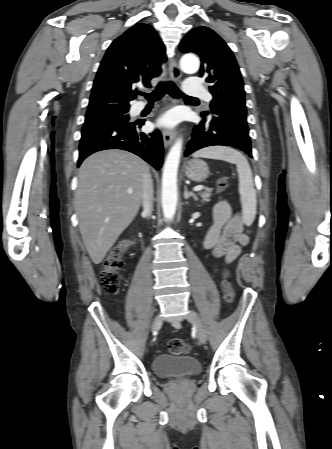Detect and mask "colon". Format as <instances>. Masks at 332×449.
Instances as JSON below:
<instances>
[{"mask_svg": "<svg viewBox=\"0 0 332 449\" xmlns=\"http://www.w3.org/2000/svg\"><path fill=\"white\" fill-rule=\"evenodd\" d=\"M228 177H222L217 180V189L219 192H224L228 187ZM129 248V240H120L109 252L103 262V269L100 274V280L103 289L110 293L115 294L118 292L121 282V268L123 266L122 257ZM222 290L224 293V299L227 303L231 304L235 298V292L231 282L229 281V272L227 270L223 273ZM169 352L173 355L186 354L189 347L182 339H172L168 342Z\"/></svg>", "mask_w": 332, "mask_h": 449, "instance_id": "obj_1", "label": "colon"}]
</instances>
